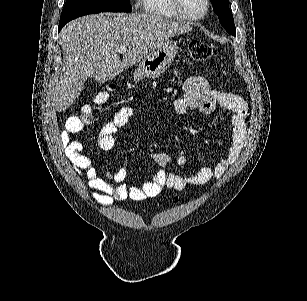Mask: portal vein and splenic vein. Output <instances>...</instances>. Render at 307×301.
I'll return each instance as SVG.
<instances>
[{"mask_svg":"<svg viewBox=\"0 0 307 301\" xmlns=\"http://www.w3.org/2000/svg\"><path fill=\"white\" fill-rule=\"evenodd\" d=\"M118 52H126L127 46H120V48H117Z\"/></svg>","mask_w":307,"mask_h":301,"instance_id":"1","label":"portal vein and splenic vein"}]
</instances>
